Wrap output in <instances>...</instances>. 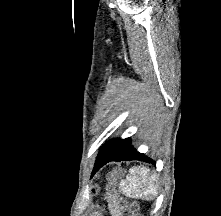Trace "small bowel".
Segmentation results:
<instances>
[{
  "label": "small bowel",
  "instance_id": "1",
  "mask_svg": "<svg viewBox=\"0 0 221 216\" xmlns=\"http://www.w3.org/2000/svg\"><path fill=\"white\" fill-rule=\"evenodd\" d=\"M108 203L113 216H120V208L118 203L110 198H108Z\"/></svg>",
  "mask_w": 221,
  "mask_h": 216
}]
</instances>
